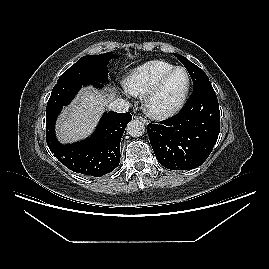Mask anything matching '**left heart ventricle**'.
I'll use <instances>...</instances> for the list:
<instances>
[{
    "label": "left heart ventricle",
    "mask_w": 269,
    "mask_h": 269,
    "mask_svg": "<svg viewBox=\"0 0 269 269\" xmlns=\"http://www.w3.org/2000/svg\"><path fill=\"white\" fill-rule=\"evenodd\" d=\"M186 82V74L183 71L173 74L155 99V107L164 109L177 102L186 87Z\"/></svg>",
    "instance_id": "1"
}]
</instances>
